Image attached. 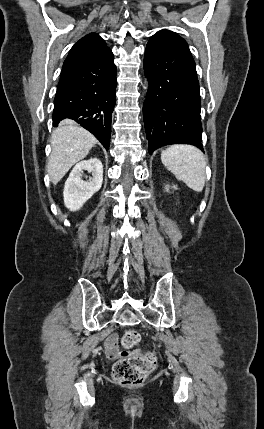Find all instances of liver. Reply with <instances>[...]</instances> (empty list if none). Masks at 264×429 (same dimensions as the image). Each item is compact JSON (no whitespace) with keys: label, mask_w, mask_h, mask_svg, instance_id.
Returning <instances> with one entry per match:
<instances>
[{"label":"liver","mask_w":264,"mask_h":429,"mask_svg":"<svg viewBox=\"0 0 264 429\" xmlns=\"http://www.w3.org/2000/svg\"><path fill=\"white\" fill-rule=\"evenodd\" d=\"M96 143L97 139L84 128L70 120L61 122L51 137L52 151L47 164L51 182L56 185Z\"/></svg>","instance_id":"liver-1"}]
</instances>
